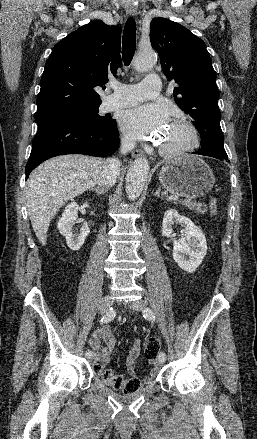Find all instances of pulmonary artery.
I'll list each match as a JSON object with an SVG mask.
<instances>
[{
  "label": "pulmonary artery",
  "instance_id": "e3ab8cb5",
  "mask_svg": "<svg viewBox=\"0 0 257 439\" xmlns=\"http://www.w3.org/2000/svg\"><path fill=\"white\" fill-rule=\"evenodd\" d=\"M161 86L160 77L157 74H149L145 79L135 85L118 84L112 86L114 92L110 95L105 105L108 110L117 109L136 104L144 99L156 97Z\"/></svg>",
  "mask_w": 257,
  "mask_h": 439
}]
</instances>
